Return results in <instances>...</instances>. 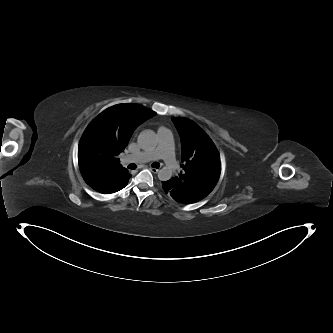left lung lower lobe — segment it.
<instances>
[{
  "label": "left lung lower lobe",
  "mask_w": 333,
  "mask_h": 333,
  "mask_svg": "<svg viewBox=\"0 0 333 333\" xmlns=\"http://www.w3.org/2000/svg\"><path fill=\"white\" fill-rule=\"evenodd\" d=\"M162 191L169 196L170 198L174 199L175 201L182 203V204H192L196 203L197 201L191 199L186 194H184L178 188L172 187L170 180L162 182Z\"/></svg>",
  "instance_id": "obj_1"
}]
</instances>
